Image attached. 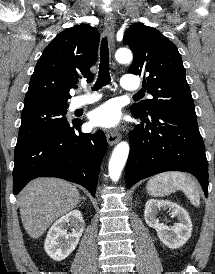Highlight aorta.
Segmentation results:
<instances>
[{"label": "aorta", "instance_id": "obj_1", "mask_svg": "<svg viewBox=\"0 0 215 274\" xmlns=\"http://www.w3.org/2000/svg\"><path fill=\"white\" fill-rule=\"evenodd\" d=\"M116 60L119 63L127 64L132 61V52L127 48H121L116 51ZM129 154V145L127 142H120L113 150L109 161V176L113 181H118Z\"/></svg>", "mask_w": 215, "mask_h": 274}]
</instances>
